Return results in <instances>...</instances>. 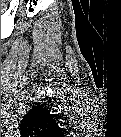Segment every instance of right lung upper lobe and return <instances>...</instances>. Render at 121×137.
<instances>
[{
	"label": "right lung upper lobe",
	"mask_w": 121,
	"mask_h": 137,
	"mask_svg": "<svg viewBox=\"0 0 121 137\" xmlns=\"http://www.w3.org/2000/svg\"><path fill=\"white\" fill-rule=\"evenodd\" d=\"M23 135H42L59 132L54 116L40 104L25 115L20 126Z\"/></svg>",
	"instance_id": "right-lung-upper-lobe-1"
}]
</instances>
